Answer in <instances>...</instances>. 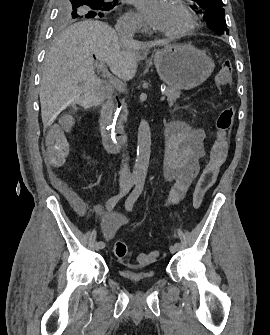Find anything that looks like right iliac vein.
<instances>
[{
    "instance_id": "63e3f726",
    "label": "right iliac vein",
    "mask_w": 270,
    "mask_h": 335,
    "mask_svg": "<svg viewBox=\"0 0 270 335\" xmlns=\"http://www.w3.org/2000/svg\"><path fill=\"white\" fill-rule=\"evenodd\" d=\"M121 190H124V186L121 187ZM99 249H100V247H99L98 242H95L94 243V250H99Z\"/></svg>"
}]
</instances>
